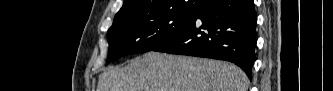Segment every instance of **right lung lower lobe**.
I'll use <instances>...</instances> for the list:
<instances>
[{"instance_id":"98d812e1","label":"right lung lower lobe","mask_w":333,"mask_h":91,"mask_svg":"<svg viewBox=\"0 0 333 91\" xmlns=\"http://www.w3.org/2000/svg\"><path fill=\"white\" fill-rule=\"evenodd\" d=\"M256 23L253 0H210L153 51L230 61L252 79Z\"/></svg>"}]
</instances>
